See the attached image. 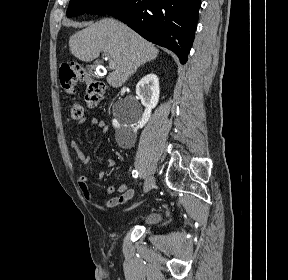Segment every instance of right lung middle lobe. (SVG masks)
I'll return each mask as SVG.
<instances>
[{
  "mask_svg": "<svg viewBox=\"0 0 288 280\" xmlns=\"http://www.w3.org/2000/svg\"><path fill=\"white\" fill-rule=\"evenodd\" d=\"M126 0H70L67 11V17H73L80 14H97L105 15V13Z\"/></svg>",
  "mask_w": 288,
  "mask_h": 280,
  "instance_id": "dd1d6c3e",
  "label": "right lung middle lobe"
}]
</instances>
